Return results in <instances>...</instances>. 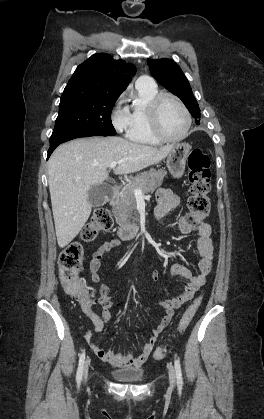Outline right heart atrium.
I'll list each match as a JSON object with an SVG mask.
<instances>
[{
    "label": "right heart atrium",
    "mask_w": 264,
    "mask_h": 419,
    "mask_svg": "<svg viewBox=\"0 0 264 419\" xmlns=\"http://www.w3.org/2000/svg\"><path fill=\"white\" fill-rule=\"evenodd\" d=\"M111 120L117 132L125 133L128 131L130 116L126 109L115 108L112 112Z\"/></svg>",
    "instance_id": "d8ad5b80"
}]
</instances>
